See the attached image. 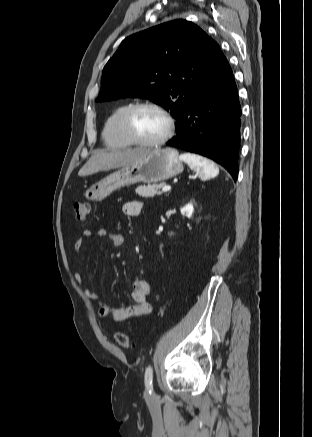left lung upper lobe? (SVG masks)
Segmentation results:
<instances>
[{
  "instance_id": "1",
  "label": "left lung upper lobe",
  "mask_w": 312,
  "mask_h": 437,
  "mask_svg": "<svg viewBox=\"0 0 312 437\" xmlns=\"http://www.w3.org/2000/svg\"><path fill=\"white\" fill-rule=\"evenodd\" d=\"M224 58L218 44L186 20H173L125 38L103 69L96 101L147 98L179 122Z\"/></svg>"
}]
</instances>
